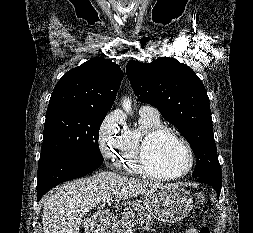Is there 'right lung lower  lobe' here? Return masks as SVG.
Returning a JSON list of instances; mask_svg holds the SVG:
<instances>
[{
	"mask_svg": "<svg viewBox=\"0 0 253 233\" xmlns=\"http://www.w3.org/2000/svg\"><path fill=\"white\" fill-rule=\"evenodd\" d=\"M102 162L71 157H52L39 162L37 200L39 201L52 187L94 171Z\"/></svg>",
	"mask_w": 253,
	"mask_h": 233,
	"instance_id": "right-lung-lower-lobe-1",
	"label": "right lung lower lobe"
}]
</instances>
